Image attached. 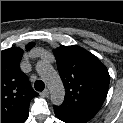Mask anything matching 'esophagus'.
<instances>
[{
  "mask_svg": "<svg viewBox=\"0 0 123 123\" xmlns=\"http://www.w3.org/2000/svg\"><path fill=\"white\" fill-rule=\"evenodd\" d=\"M40 95H41L42 97H47V96L49 95L48 89H45L44 91H42V92L40 93Z\"/></svg>",
  "mask_w": 123,
  "mask_h": 123,
  "instance_id": "obj_1",
  "label": "esophagus"
}]
</instances>
